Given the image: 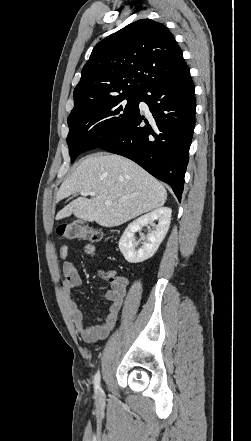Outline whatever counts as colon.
<instances>
[{"label": "colon", "instance_id": "1", "mask_svg": "<svg viewBox=\"0 0 251 441\" xmlns=\"http://www.w3.org/2000/svg\"><path fill=\"white\" fill-rule=\"evenodd\" d=\"M57 232L60 236L67 239L88 240L90 242H99L104 237L102 231L91 227L81 220H72L70 222L61 224L58 227ZM108 280L110 283L126 282L124 277H116L112 274L108 275Z\"/></svg>", "mask_w": 251, "mask_h": 441}]
</instances>
